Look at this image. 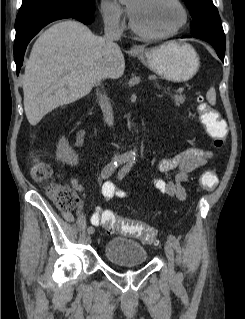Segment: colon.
I'll use <instances>...</instances> for the list:
<instances>
[{"label":"colon","mask_w":245,"mask_h":319,"mask_svg":"<svg viewBox=\"0 0 245 319\" xmlns=\"http://www.w3.org/2000/svg\"><path fill=\"white\" fill-rule=\"evenodd\" d=\"M198 113L200 121L207 134L212 139L213 146L221 148L227 137V126L220 118L218 112L212 108L202 97L198 98ZM32 174L36 181L46 182L51 175L50 168L43 163H36L32 168ZM200 185L204 190H212L217 185V175L214 170L206 171L200 178ZM47 191L57 207L63 211L74 210L79 198L68 186L60 183H49ZM102 224L109 233L120 232L125 235L141 239L148 244H155L157 234L148 224L133 219H125L116 216L112 211H104Z\"/></svg>","instance_id":"5ec220e1"}]
</instances>
